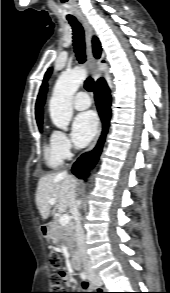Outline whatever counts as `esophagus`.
Returning <instances> with one entry per match:
<instances>
[{"instance_id": "34e87169", "label": "esophagus", "mask_w": 170, "mask_h": 293, "mask_svg": "<svg viewBox=\"0 0 170 293\" xmlns=\"http://www.w3.org/2000/svg\"><path fill=\"white\" fill-rule=\"evenodd\" d=\"M78 18L82 22L84 30H85L86 55L88 59V65L94 80H97L101 75L102 63L100 60L95 59L93 55V48H92V39L94 35L93 28L85 17L79 16ZM101 131H102V127L100 126L98 133L95 139L93 140V142L91 143V145L89 146V148L87 149V152L91 151L95 147L101 135Z\"/></svg>"}]
</instances>
